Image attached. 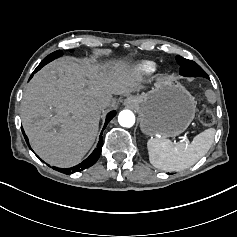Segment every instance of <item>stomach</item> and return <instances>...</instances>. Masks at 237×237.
<instances>
[{
  "instance_id": "stomach-1",
  "label": "stomach",
  "mask_w": 237,
  "mask_h": 237,
  "mask_svg": "<svg viewBox=\"0 0 237 237\" xmlns=\"http://www.w3.org/2000/svg\"><path fill=\"white\" fill-rule=\"evenodd\" d=\"M132 98L140 130L149 137H177L195 117V98L172 78L159 79L150 91Z\"/></svg>"
}]
</instances>
